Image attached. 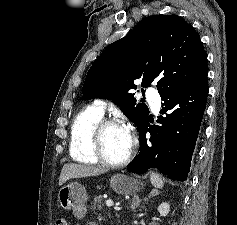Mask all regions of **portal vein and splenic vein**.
<instances>
[{
	"label": "portal vein and splenic vein",
	"mask_w": 237,
	"mask_h": 225,
	"mask_svg": "<svg viewBox=\"0 0 237 225\" xmlns=\"http://www.w3.org/2000/svg\"><path fill=\"white\" fill-rule=\"evenodd\" d=\"M106 205H107L108 207H113V206H114V203H113L112 200L109 199V200L106 201ZM114 209H115L116 211H120V210H121V207L115 206Z\"/></svg>",
	"instance_id": "1"
}]
</instances>
